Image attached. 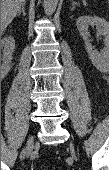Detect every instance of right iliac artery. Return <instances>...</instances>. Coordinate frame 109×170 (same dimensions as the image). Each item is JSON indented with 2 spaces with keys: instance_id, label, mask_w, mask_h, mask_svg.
<instances>
[{
  "instance_id": "obj_1",
  "label": "right iliac artery",
  "mask_w": 109,
  "mask_h": 170,
  "mask_svg": "<svg viewBox=\"0 0 109 170\" xmlns=\"http://www.w3.org/2000/svg\"><path fill=\"white\" fill-rule=\"evenodd\" d=\"M24 153H25V151L23 150V152L21 153V158L24 157Z\"/></svg>"
}]
</instances>
